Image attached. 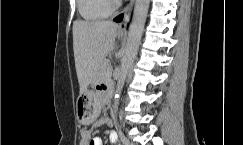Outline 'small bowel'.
Listing matches in <instances>:
<instances>
[{"label": "small bowel", "mask_w": 243, "mask_h": 145, "mask_svg": "<svg viewBox=\"0 0 243 145\" xmlns=\"http://www.w3.org/2000/svg\"><path fill=\"white\" fill-rule=\"evenodd\" d=\"M104 90H106V88H104ZM104 123H108V120L105 118H102L97 122V124ZM109 140L113 144L118 142V135L115 131L110 132ZM79 145H103V141L100 137L93 136L91 130L86 129L81 132V140Z\"/></svg>", "instance_id": "obj_1"}]
</instances>
